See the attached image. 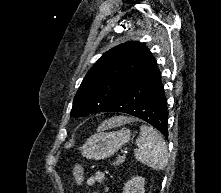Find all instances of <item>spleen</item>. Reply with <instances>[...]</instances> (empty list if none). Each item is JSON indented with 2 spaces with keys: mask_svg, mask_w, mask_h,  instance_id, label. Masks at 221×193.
<instances>
[{
  "mask_svg": "<svg viewBox=\"0 0 221 193\" xmlns=\"http://www.w3.org/2000/svg\"><path fill=\"white\" fill-rule=\"evenodd\" d=\"M136 144L138 149L135 152V157L138 161L155 170H163L167 166L166 143L154 128L146 125L141 126Z\"/></svg>",
  "mask_w": 221,
  "mask_h": 193,
  "instance_id": "1",
  "label": "spleen"
}]
</instances>
